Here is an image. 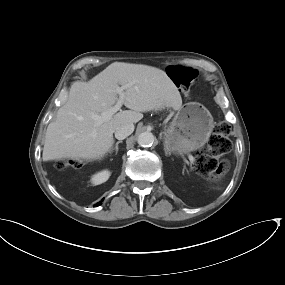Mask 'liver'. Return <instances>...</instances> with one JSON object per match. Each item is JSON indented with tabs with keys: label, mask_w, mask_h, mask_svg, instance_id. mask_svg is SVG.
Instances as JSON below:
<instances>
[{
	"label": "liver",
	"mask_w": 285,
	"mask_h": 285,
	"mask_svg": "<svg viewBox=\"0 0 285 285\" xmlns=\"http://www.w3.org/2000/svg\"><path fill=\"white\" fill-rule=\"evenodd\" d=\"M119 85L124 87L123 104L130 110L114 113L104 121L95 120L94 115L109 113L118 101ZM162 107H182L177 87L163 70L114 62L90 81L71 85L66 103L47 127L42 159H101L110 152L118 126L137 123L142 112Z\"/></svg>",
	"instance_id": "1"
}]
</instances>
